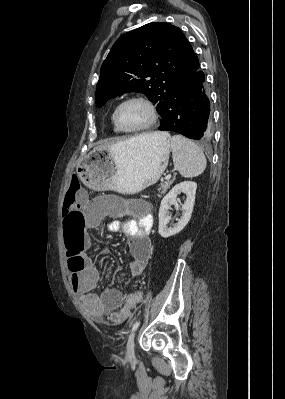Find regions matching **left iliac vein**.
<instances>
[{
    "instance_id": "left-iliac-vein-1",
    "label": "left iliac vein",
    "mask_w": 285,
    "mask_h": 399,
    "mask_svg": "<svg viewBox=\"0 0 285 399\" xmlns=\"http://www.w3.org/2000/svg\"><path fill=\"white\" fill-rule=\"evenodd\" d=\"M134 337H135V331L132 332L128 338L127 352H126V357L128 359H132L134 357Z\"/></svg>"
}]
</instances>
